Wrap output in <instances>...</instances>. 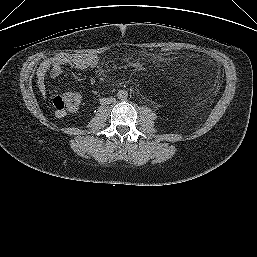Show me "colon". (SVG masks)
Returning a JSON list of instances; mask_svg holds the SVG:
<instances>
[{
	"label": "colon",
	"instance_id": "5ec220e1",
	"mask_svg": "<svg viewBox=\"0 0 257 257\" xmlns=\"http://www.w3.org/2000/svg\"><path fill=\"white\" fill-rule=\"evenodd\" d=\"M174 52V48L165 46L161 48V53L170 55ZM81 98L75 93L57 94L52 98V106L56 113L75 112L80 106Z\"/></svg>",
	"mask_w": 257,
	"mask_h": 257
}]
</instances>
